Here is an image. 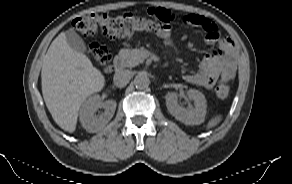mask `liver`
<instances>
[{
  "mask_svg": "<svg viewBox=\"0 0 292 184\" xmlns=\"http://www.w3.org/2000/svg\"><path fill=\"white\" fill-rule=\"evenodd\" d=\"M41 85L52 118L60 128L72 133L82 103L103 89L105 78L86 55L68 45L62 32L53 40L44 57Z\"/></svg>",
  "mask_w": 292,
  "mask_h": 184,
  "instance_id": "6515ba94",
  "label": "liver"
}]
</instances>
